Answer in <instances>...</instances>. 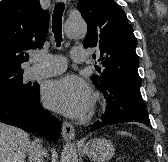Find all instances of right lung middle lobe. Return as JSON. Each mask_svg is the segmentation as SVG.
<instances>
[{"instance_id":"right-lung-middle-lobe-1","label":"right lung middle lobe","mask_w":168,"mask_h":162,"mask_svg":"<svg viewBox=\"0 0 168 162\" xmlns=\"http://www.w3.org/2000/svg\"><path fill=\"white\" fill-rule=\"evenodd\" d=\"M35 85L23 84V72L0 75V93L29 94Z\"/></svg>"}]
</instances>
